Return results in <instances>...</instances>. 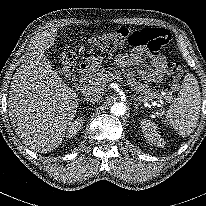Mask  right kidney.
Wrapping results in <instances>:
<instances>
[{
    "instance_id": "1",
    "label": "right kidney",
    "mask_w": 206,
    "mask_h": 206,
    "mask_svg": "<svg viewBox=\"0 0 206 206\" xmlns=\"http://www.w3.org/2000/svg\"><path fill=\"white\" fill-rule=\"evenodd\" d=\"M83 125V118H77L74 122H72L71 126L67 128V136L68 138H71L76 135V133L81 129Z\"/></svg>"
}]
</instances>
